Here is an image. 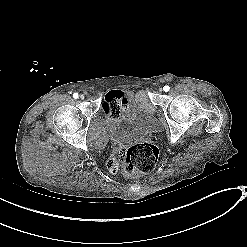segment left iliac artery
Instances as JSON below:
<instances>
[{"label":"left iliac artery","mask_w":247,"mask_h":247,"mask_svg":"<svg viewBox=\"0 0 247 247\" xmlns=\"http://www.w3.org/2000/svg\"><path fill=\"white\" fill-rule=\"evenodd\" d=\"M163 91H165V92L169 91V87L168 86H164L163 87Z\"/></svg>","instance_id":"obj_1"}]
</instances>
